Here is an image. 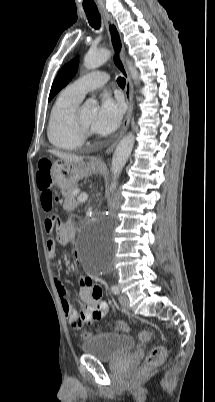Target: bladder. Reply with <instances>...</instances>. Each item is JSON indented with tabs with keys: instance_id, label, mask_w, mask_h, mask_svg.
<instances>
[{
	"instance_id": "obj_1",
	"label": "bladder",
	"mask_w": 215,
	"mask_h": 402,
	"mask_svg": "<svg viewBox=\"0 0 215 402\" xmlns=\"http://www.w3.org/2000/svg\"><path fill=\"white\" fill-rule=\"evenodd\" d=\"M135 347V340L126 334L99 333L88 337L82 343L85 354L101 361L118 360Z\"/></svg>"
}]
</instances>
